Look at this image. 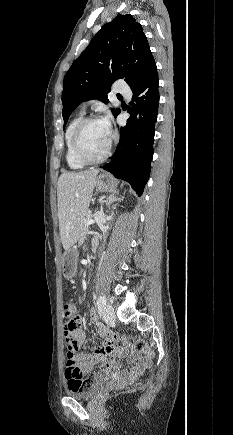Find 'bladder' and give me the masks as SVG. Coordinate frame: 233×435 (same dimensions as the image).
<instances>
[{"label": "bladder", "mask_w": 233, "mask_h": 435, "mask_svg": "<svg viewBox=\"0 0 233 435\" xmlns=\"http://www.w3.org/2000/svg\"><path fill=\"white\" fill-rule=\"evenodd\" d=\"M72 386V385H71ZM102 386L101 382L91 384L87 389L85 390H74L70 388V385H67V389L65 391V394L68 397H73L77 399H91L96 394V390Z\"/></svg>", "instance_id": "1"}]
</instances>
